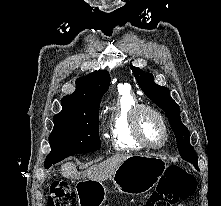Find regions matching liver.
<instances>
[{"instance_id":"liver-1","label":"liver","mask_w":221,"mask_h":206,"mask_svg":"<svg viewBox=\"0 0 221 206\" xmlns=\"http://www.w3.org/2000/svg\"><path fill=\"white\" fill-rule=\"evenodd\" d=\"M130 155L118 154L109 159L89 167L83 172H79L72 162H67L61 166V174L66 178L79 179L88 177L95 181H104L111 178L118 166Z\"/></svg>"}]
</instances>
